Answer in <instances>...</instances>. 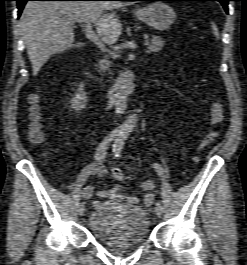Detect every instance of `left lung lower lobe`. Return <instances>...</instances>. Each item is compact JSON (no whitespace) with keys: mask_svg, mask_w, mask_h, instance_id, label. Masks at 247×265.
Segmentation results:
<instances>
[{"mask_svg":"<svg viewBox=\"0 0 247 265\" xmlns=\"http://www.w3.org/2000/svg\"><path fill=\"white\" fill-rule=\"evenodd\" d=\"M130 1H180V0H130ZM193 1H219L223 5L226 13H228V2L231 0H193Z\"/></svg>","mask_w":247,"mask_h":265,"instance_id":"1","label":"left lung lower lobe"}]
</instances>
